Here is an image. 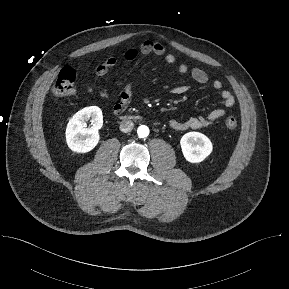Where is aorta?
<instances>
[{
    "label": "aorta",
    "mask_w": 289,
    "mask_h": 289,
    "mask_svg": "<svg viewBox=\"0 0 289 289\" xmlns=\"http://www.w3.org/2000/svg\"><path fill=\"white\" fill-rule=\"evenodd\" d=\"M137 133L140 138H145L149 135V128L145 125H141L138 127Z\"/></svg>",
    "instance_id": "obj_1"
}]
</instances>
